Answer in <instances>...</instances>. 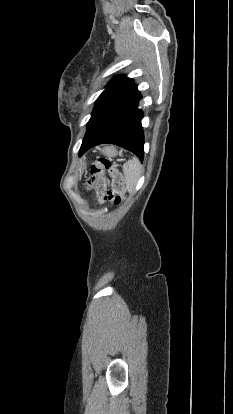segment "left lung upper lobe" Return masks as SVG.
<instances>
[{
	"label": "left lung upper lobe",
	"instance_id": "obj_1",
	"mask_svg": "<svg viewBox=\"0 0 233 414\" xmlns=\"http://www.w3.org/2000/svg\"><path fill=\"white\" fill-rule=\"evenodd\" d=\"M133 84H134L133 80L130 78H127L126 76L115 77L107 84L106 89L102 92V94L99 96L98 99L105 97L107 95H110V94H114L121 90H124Z\"/></svg>",
	"mask_w": 233,
	"mask_h": 414
}]
</instances>
